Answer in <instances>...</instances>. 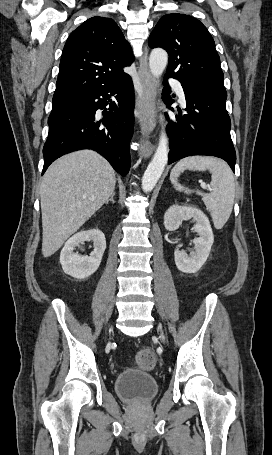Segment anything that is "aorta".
<instances>
[{
    "mask_svg": "<svg viewBox=\"0 0 272 455\" xmlns=\"http://www.w3.org/2000/svg\"><path fill=\"white\" fill-rule=\"evenodd\" d=\"M167 63L168 55L165 50L160 48L152 50L149 57V68L155 79H159L165 70ZM167 161L168 138L165 132V125H163L157 150L142 178V189L144 192L147 193L153 190L164 171Z\"/></svg>",
    "mask_w": 272,
    "mask_h": 455,
    "instance_id": "obj_1",
    "label": "aorta"
}]
</instances>
